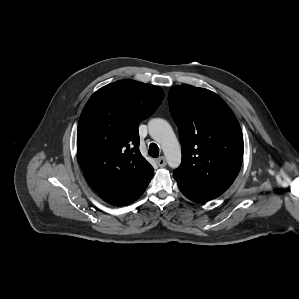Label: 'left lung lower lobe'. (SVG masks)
<instances>
[{"label":"left lung lower lobe","mask_w":299,"mask_h":299,"mask_svg":"<svg viewBox=\"0 0 299 299\" xmlns=\"http://www.w3.org/2000/svg\"><path fill=\"white\" fill-rule=\"evenodd\" d=\"M179 186V185H178ZM179 189L180 191L187 197L189 198L190 200H193L195 202H207L209 200H211L212 198H209V197H206V196H203L201 194H198V193H195L193 191H189L181 186H179Z\"/></svg>","instance_id":"obj_1"}]
</instances>
